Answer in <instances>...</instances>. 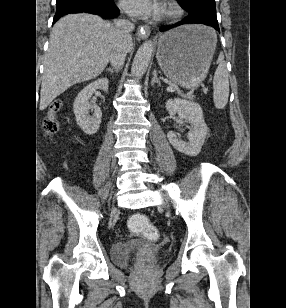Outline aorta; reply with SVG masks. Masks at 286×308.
<instances>
[{
  "instance_id": "aorta-1",
  "label": "aorta",
  "mask_w": 286,
  "mask_h": 308,
  "mask_svg": "<svg viewBox=\"0 0 286 308\" xmlns=\"http://www.w3.org/2000/svg\"><path fill=\"white\" fill-rule=\"evenodd\" d=\"M154 51L152 41L144 42L138 49L131 67V76L140 79L144 75Z\"/></svg>"
}]
</instances>
